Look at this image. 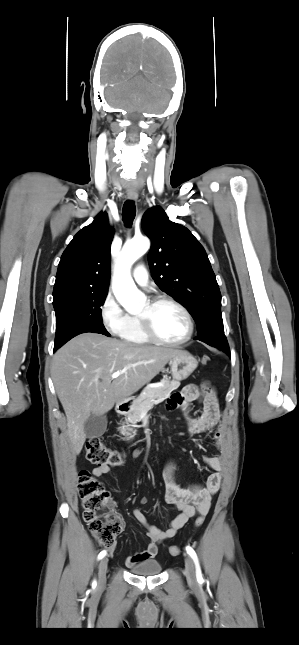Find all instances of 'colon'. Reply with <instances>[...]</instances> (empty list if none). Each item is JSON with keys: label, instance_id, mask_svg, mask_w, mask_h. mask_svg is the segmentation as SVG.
Listing matches in <instances>:
<instances>
[{"label": "colon", "instance_id": "1", "mask_svg": "<svg viewBox=\"0 0 299 645\" xmlns=\"http://www.w3.org/2000/svg\"><path fill=\"white\" fill-rule=\"evenodd\" d=\"M210 361L211 358L209 356H203V365H208ZM203 392L205 394L210 392L208 383L203 384ZM86 458L93 464L112 467L120 466L124 461L122 453L108 448L99 438H91L88 440L86 444ZM78 483L85 522L102 546L108 548L113 547L124 525L122 519L115 511V505L110 494L88 471L84 470L80 472ZM204 520L205 516L199 515L195 521V527H201ZM180 552L181 549L178 546L173 545L169 547V553L173 556L179 555Z\"/></svg>", "mask_w": 299, "mask_h": 645}]
</instances>
